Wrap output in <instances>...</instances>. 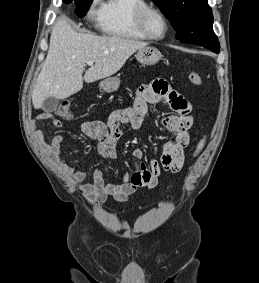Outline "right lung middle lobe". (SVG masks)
Masks as SVG:
<instances>
[{"label":"right lung middle lobe","instance_id":"1","mask_svg":"<svg viewBox=\"0 0 259 283\" xmlns=\"http://www.w3.org/2000/svg\"><path fill=\"white\" fill-rule=\"evenodd\" d=\"M93 0H74L76 4L75 13L78 17H84L89 9Z\"/></svg>","mask_w":259,"mask_h":283}]
</instances>
